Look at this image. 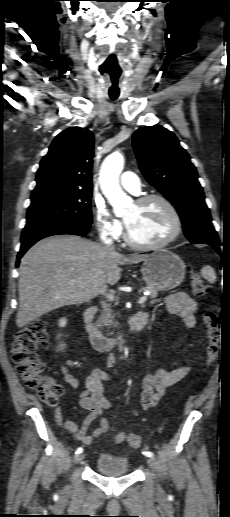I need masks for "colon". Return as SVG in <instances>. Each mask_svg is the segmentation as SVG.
<instances>
[{
    "label": "colon",
    "instance_id": "obj_1",
    "mask_svg": "<svg viewBox=\"0 0 230 517\" xmlns=\"http://www.w3.org/2000/svg\"><path fill=\"white\" fill-rule=\"evenodd\" d=\"M191 288L195 296L203 298L208 294V287L199 277L194 276ZM206 328V365L211 367L217 360L220 343V318L214 311H206L203 315ZM48 338L46 323L37 319L20 329L12 345V362L25 384L33 389L42 402L56 406L65 390L56 380L44 376L45 364L37 356V346ZM128 443L133 447L141 445L139 436L127 433Z\"/></svg>",
    "mask_w": 230,
    "mask_h": 517
}]
</instances>
